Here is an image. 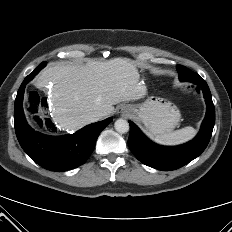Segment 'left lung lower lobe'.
I'll list each match as a JSON object with an SVG mask.
<instances>
[{"label": "left lung lower lobe", "instance_id": "left-lung-lower-lobe-1", "mask_svg": "<svg viewBox=\"0 0 232 232\" xmlns=\"http://www.w3.org/2000/svg\"><path fill=\"white\" fill-rule=\"evenodd\" d=\"M177 67L183 75V81H190L196 84L202 88L204 93L207 112L197 137L181 146H159L148 140L139 128L129 121L130 135L128 145L131 152L145 165L163 171L178 169L198 157L208 145L215 124V108L207 83L197 73L180 65Z\"/></svg>", "mask_w": 232, "mask_h": 232}]
</instances>
